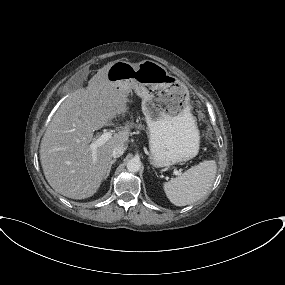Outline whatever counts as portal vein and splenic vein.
I'll list each match as a JSON object with an SVG mask.
<instances>
[{"label":"portal vein and splenic vein","instance_id":"obj_1","mask_svg":"<svg viewBox=\"0 0 285 285\" xmlns=\"http://www.w3.org/2000/svg\"><path fill=\"white\" fill-rule=\"evenodd\" d=\"M112 137V133L110 131L104 132L99 138H97L95 141H93L90 144V148L92 150V159L93 163H96L97 160V152L96 149L100 147L101 145L105 144L110 138ZM179 172L176 170L175 175H178Z\"/></svg>","mask_w":285,"mask_h":285}]
</instances>
